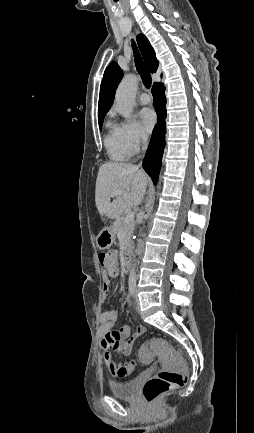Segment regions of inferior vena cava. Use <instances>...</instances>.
Returning a JSON list of instances; mask_svg holds the SVG:
<instances>
[{
	"label": "inferior vena cava",
	"instance_id": "602c4592",
	"mask_svg": "<svg viewBox=\"0 0 254 433\" xmlns=\"http://www.w3.org/2000/svg\"><path fill=\"white\" fill-rule=\"evenodd\" d=\"M142 140H143V143H144L143 150H146L147 149V140H148L147 136L146 135H142Z\"/></svg>",
	"mask_w": 254,
	"mask_h": 433
}]
</instances>
